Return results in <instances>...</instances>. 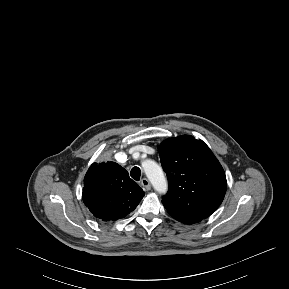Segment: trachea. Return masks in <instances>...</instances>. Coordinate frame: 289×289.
Listing matches in <instances>:
<instances>
[{
  "label": "trachea",
  "instance_id": "3493384b",
  "mask_svg": "<svg viewBox=\"0 0 289 289\" xmlns=\"http://www.w3.org/2000/svg\"><path fill=\"white\" fill-rule=\"evenodd\" d=\"M131 177L136 180L139 181L140 177H141V170L139 167H133L131 172H130Z\"/></svg>",
  "mask_w": 289,
  "mask_h": 289
}]
</instances>
